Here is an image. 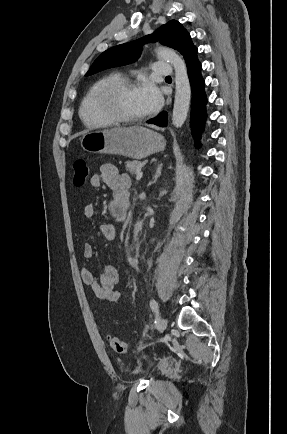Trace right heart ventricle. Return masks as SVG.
<instances>
[{
	"mask_svg": "<svg viewBox=\"0 0 287 434\" xmlns=\"http://www.w3.org/2000/svg\"><path fill=\"white\" fill-rule=\"evenodd\" d=\"M122 75L119 73H109L95 83L87 90L79 106V116L83 123L90 127H105L113 124L110 119L104 116L97 107V96L100 90L109 83L121 81Z\"/></svg>",
	"mask_w": 287,
	"mask_h": 434,
	"instance_id": "right-heart-ventricle-1",
	"label": "right heart ventricle"
}]
</instances>
